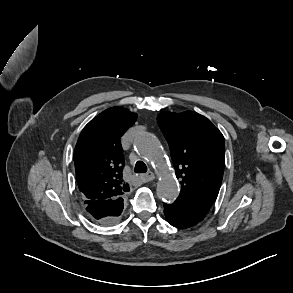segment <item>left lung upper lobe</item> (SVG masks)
<instances>
[{"mask_svg":"<svg viewBox=\"0 0 293 293\" xmlns=\"http://www.w3.org/2000/svg\"><path fill=\"white\" fill-rule=\"evenodd\" d=\"M157 120L180 180L177 199L208 212L218 196L225 167L222 133L209 119L191 111L162 112Z\"/></svg>","mask_w":293,"mask_h":293,"instance_id":"left-lung-upper-lobe-1","label":"left lung upper lobe"}]
</instances>
